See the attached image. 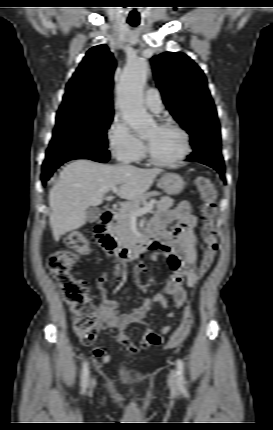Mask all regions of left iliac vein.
Returning a JSON list of instances; mask_svg holds the SVG:
<instances>
[{
    "instance_id": "1",
    "label": "left iliac vein",
    "mask_w": 273,
    "mask_h": 430,
    "mask_svg": "<svg viewBox=\"0 0 273 430\" xmlns=\"http://www.w3.org/2000/svg\"><path fill=\"white\" fill-rule=\"evenodd\" d=\"M168 384L172 389L177 388V375L175 370H172L168 377Z\"/></svg>"
}]
</instances>
